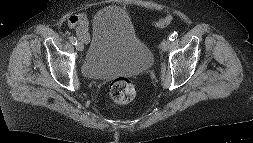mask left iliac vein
I'll return each instance as SVG.
<instances>
[{
	"label": "left iliac vein",
	"mask_w": 253,
	"mask_h": 143,
	"mask_svg": "<svg viewBox=\"0 0 253 143\" xmlns=\"http://www.w3.org/2000/svg\"><path fill=\"white\" fill-rule=\"evenodd\" d=\"M170 40L169 39H166V40H164L163 42H162V44H161V49L165 52V51H167L168 49H169V47H170Z\"/></svg>",
	"instance_id": "4c4485c4"
}]
</instances>
